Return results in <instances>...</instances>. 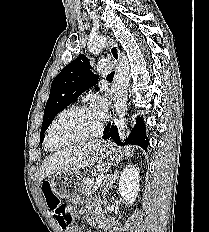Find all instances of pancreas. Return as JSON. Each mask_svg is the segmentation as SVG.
Here are the masks:
<instances>
[{
  "label": "pancreas",
  "instance_id": "obj_1",
  "mask_svg": "<svg viewBox=\"0 0 209 232\" xmlns=\"http://www.w3.org/2000/svg\"><path fill=\"white\" fill-rule=\"evenodd\" d=\"M94 181L91 178H85L82 181V191L85 195H89L93 192Z\"/></svg>",
  "mask_w": 209,
  "mask_h": 232
}]
</instances>
